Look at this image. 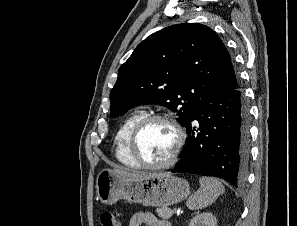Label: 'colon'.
I'll list each match as a JSON object with an SVG mask.
<instances>
[{"label":"colon","instance_id":"5ec220e1","mask_svg":"<svg viewBox=\"0 0 297 226\" xmlns=\"http://www.w3.org/2000/svg\"><path fill=\"white\" fill-rule=\"evenodd\" d=\"M100 225L101 226H120L119 222L115 218V215L111 211H103L100 214Z\"/></svg>","mask_w":297,"mask_h":226}]
</instances>
